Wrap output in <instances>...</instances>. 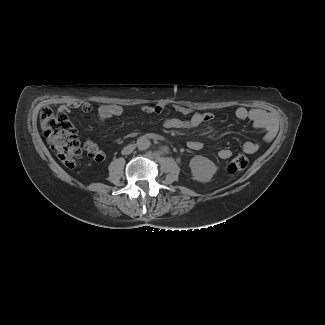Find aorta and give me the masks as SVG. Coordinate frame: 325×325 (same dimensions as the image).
Returning a JSON list of instances; mask_svg holds the SVG:
<instances>
[{
  "mask_svg": "<svg viewBox=\"0 0 325 325\" xmlns=\"http://www.w3.org/2000/svg\"><path fill=\"white\" fill-rule=\"evenodd\" d=\"M136 145H137V148H138L139 150H142V151H143V150H146V149H148V148L150 147L151 142H150L149 139L146 138V137H140V138L137 140Z\"/></svg>",
  "mask_w": 325,
  "mask_h": 325,
  "instance_id": "1",
  "label": "aorta"
}]
</instances>
